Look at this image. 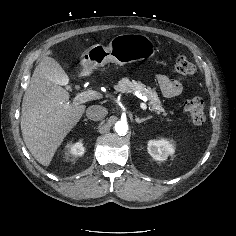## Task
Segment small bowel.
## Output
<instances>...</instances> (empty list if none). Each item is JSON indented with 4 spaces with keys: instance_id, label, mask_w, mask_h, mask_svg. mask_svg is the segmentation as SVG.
Wrapping results in <instances>:
<instances>
[{
    "instance_id": "1",
    "label": "small bowel",
    "mask_w": 236,
    "mask_h": 236,
    "mask_svg": "<svg viewBox=\"0 0 236 236\" xmlns=\"http://www.w3.org/2000/svg\"><path fill=\"white\" fill-rule=\"evenodd\" d=\"M156 81L162 94L167 98L176 97L182 92L181 84L165 75H157Z\"/></svg>"
}]
</instances>
